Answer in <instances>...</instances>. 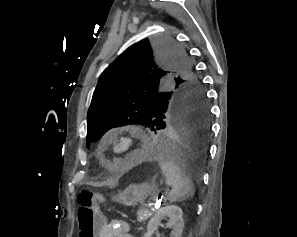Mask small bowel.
Listing matches in <instances>:
<instances>
[{
  "mask_svg": "<svg viewBox=\"0 0 297 237\" xmlns=\"http://www.w3.org/2000/svg\"><path fill=\"white\" fill-rule=\"evenodd\" d=\"M129 224L120 219L103 222L97 237H135L129 232Z\"/></svg>",
  "mask_w": 297,
  "mask_h": 237,
  "instance_id": "c3829d8e",
  "label": "small bowel"
}]
</instances>
